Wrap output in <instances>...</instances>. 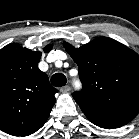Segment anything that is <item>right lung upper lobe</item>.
<instances>
[{"label": "right lung upper lobe", "instance_id": "cb5924a9", "mask_svg": "<svg viewBox=\"0 0 139 139\" xmlns=\"http://www.w3.org/2000/svg\"><path fill=\"white\" fill-rule=\"evenodd\" d=\"M40 58L41 52L16 43L0 50V130L7 134L24 136L40 127L55 104L57 90L39 70Z\"/></svg>", "mask_w": 139, "mask_h": 139}]
</instances>
